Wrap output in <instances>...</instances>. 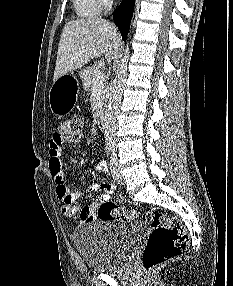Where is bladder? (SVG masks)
<instances>
[{"mask_svg": "<svg viewBox=\"0 0 233 286\" xmlns=\"http://www.w3.org/2000/svg\"><path fill=\"white\" fill-rule=\"evenodd\" d=\"M140 222H91L74 231V241L87 269L108 273L126 267L145 233Z\"/></svg>", "mask_w": 233, "mask_h": 286, "instance_id": "1", "label": "bladder"}]
</instances>
